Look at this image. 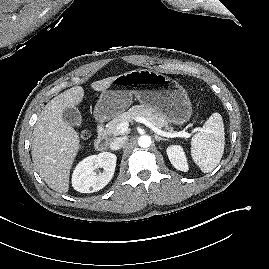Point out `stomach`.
<instances>
[{
  "instance_id": "1",
  "label": "stomach",
  "mask_w": 269,
  "mask_h": 269,
  "mask_svg": "<svg viewBox=\"0 0 269 269\" xmlns=\"http://www.w3.org/2000/svg\"><path fill=\"white\" fill-rule=\"evenodd\" d=\"M133 95L173 125H183L192 116L190 98L181 85L156 71L138 69L116 76L102 91L94 109L95 118L107 121L120 115L130 106Z\"/></svg>"
}]
</instances>
